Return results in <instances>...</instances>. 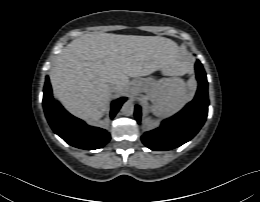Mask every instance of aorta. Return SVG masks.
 <instances>
[{
  "label": "aorta",
  "mask_w": 260,
  "mask_h": 202,
  "mask_svg": "<svg viewBox=\"0 0 260 202\" xmlns=\"http://www.w3.org/2000/svg\"><path fill=\"white\" fill-rule=\"evenodd\" d=\"M121 113L125 116H131L134 113V104L132 102H125L121 107Z\"/></svg>",
  "instance_id": "1"
}]
</instances>
